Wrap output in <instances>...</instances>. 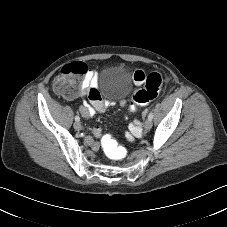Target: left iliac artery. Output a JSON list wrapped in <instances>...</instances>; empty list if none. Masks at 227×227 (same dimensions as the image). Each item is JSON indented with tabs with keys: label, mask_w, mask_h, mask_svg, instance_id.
I'll list each match as a JSON object with an SVG mask.
<instances>
[{
	"label": "left iliac artery",
	"mask_w": 227,
	"mask_h": 227,
	"mask_svg": "<svg viewBox=\"0 0 227 227\" xmlns=\"http://www.w3.org/2000/svg\"><path fill=\"white\" fill-rule=\"evenodd\" d=\"M148 119L152 121V119H153V113L152 112L149 113Z\"/></svg>",
	"instance_id": "1"
}]
</instances>
